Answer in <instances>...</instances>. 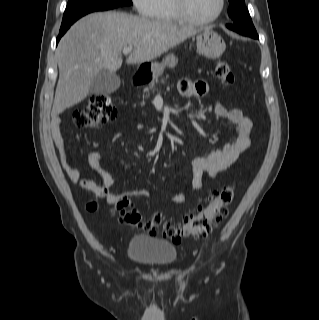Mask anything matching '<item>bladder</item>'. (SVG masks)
Returning a JSON list of instances; mask_svg holds the SVG:
<instances>
[{"label":"bladder","instance_id":"1","mask_svg":"<svg viewBox=\"0 0 319 320\" xmlns=\"http://www.w3.org/2000/svg\"><path fill=\"white\" fill-rule=\"evenodd\" d=\"M127 254L136 263L164 267L175 262L177 249L169 241L135 234L129 240Z\"/></svg>","mask_w":319,"mask_h":320}]
</instances>
